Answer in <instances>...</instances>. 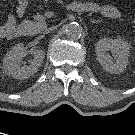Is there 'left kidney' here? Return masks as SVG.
<instances>
[{
    "label": "left kidney",
    "mask_w": 135,
    "mask_h": 135,
    "mask_svg": "<svg viewBox=\"0 0 135 135\" xmlns=\"http://www.w3.org/2000/svg\"><path fill=\"white\" fill-rule=\"evenodd\" d=\"M108 51L112 53L114 59L109 55ZM129 51L130 44L121 38H103L95 45L97 60L102 68L110 73L118 74L126 69Z\"/></svg>",
    "instance_id": "5707ae66"
}]
</instances>
